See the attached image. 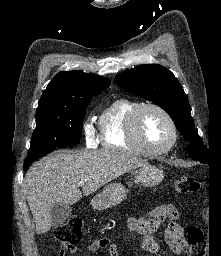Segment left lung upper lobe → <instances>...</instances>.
<instances>
[{"label": "left lung upper lobe", "mask_w": 221, "mask_h": 256, "mask_svg": "<svg viewBox=\"0 0 221 256\" xmlns=\"http://www.w3.org/2000/svg\"><path fill=\"white\" fill-rule=\"evenodd\" d=\"M115 80L124 90L164 109L189 143V157L202 163L209 162V151L195 129L188 98L171 71L159 64H144L123 72Z\"/></svg>", "instance_id": "obj_1"}]
</instances>
